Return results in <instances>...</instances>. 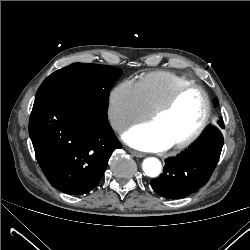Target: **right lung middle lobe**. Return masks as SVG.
<instances>
[{
	"label": "right lung middle lobe",
	"instance_id": "dd1d6c3e",
	"mask_svg": "<svg viewBox=\"0 0 250 250\" xmlns=\"http://www.w3.org/2000/svg\"><path fill=\"white\" fill-rule=\"evenodd\" d=\"M122 71L99 64L74 63L53 72L39 87L36 97L66 94L107 110L109 91Z\"/></svg>",
	"mask_w": 250,
	"mask_h": 250
}]
</instances>
